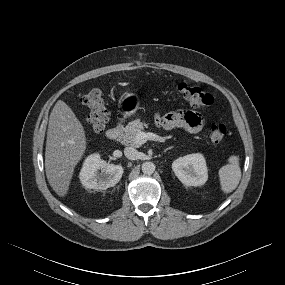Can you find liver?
<instances>
[{
  "instance_id": "obj_1",
  "label": "liver",
  "mask_w": 285,
  "mask_h": 285,
  "mask_svg": "<svg viewBox=\"0 0 285 285\" xmlns=\"http://www.w3.org/2000/svg\"><path fill=\"white\" fill-rule=\"evenodd\" d=\"M86 150V136L81 122L63 101L56 102L49 118L45 171L52 189L64 197L74 168Z\"/></svg>"
}]
</instances>
